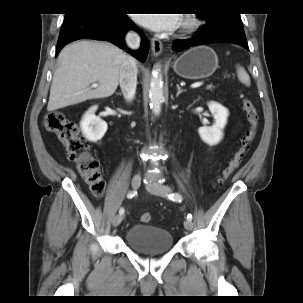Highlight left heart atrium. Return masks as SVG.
Wrapping results in <instances>:
<instances>
[{
    "label": "left heart atrium",
    "mask_w": 303,
    "mask_h": 303,
    "mask_svg": "<svg viewBox=\"0 0 303 303\" xmlns=\"http://www.w3.org/2000/svg\"><path fill=\"white\" fill-rule=\"evenodd\" d=\"M136 21L154 31H168L179 23L178 14H136Z\"/></svg>",
    "instance_id": "1"
}]
</instances>
